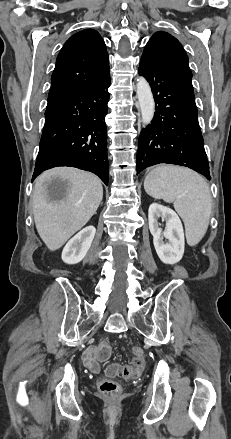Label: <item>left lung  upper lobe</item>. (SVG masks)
<instances>
[{"instance_id":"obj_1","label":"left lung upper lobe","mask_w":231,"mask_h":439,"mask_svg":"<svg viewBox=\"0 0 231 439\" xmlns=\"http://www.w3.org/2000/svg\"><path fill=\"white\" fill-rule=\"evenodd\" d=\"M144 50L152 51L192 85V73L188 65V57L175 37L166 32H156Z\"/></svg>"}]
</instances>
